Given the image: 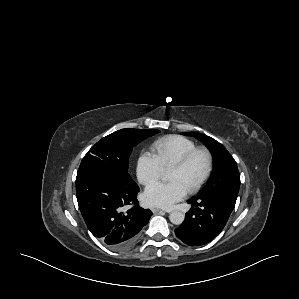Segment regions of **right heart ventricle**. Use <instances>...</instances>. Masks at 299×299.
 Here are the masks:
<instances>
[{
  "label": "right heart ventricle",
  "instance_id": "right-heart-ventricle-1",
  "mask_svg": "<svg viewBox=\"0 0 299 299\" xmlns=\"http://www.w3.org/2000/svg\"><path fill=\"white\" fill-rule=\"evenodd\" d=\"M196 147L194 141L181 135H168L153 143L155 156L164 170H169L186 153Z\"/></svg>",
  "mask_w": 299,
  "mask_h": 299
}]
</instances>
